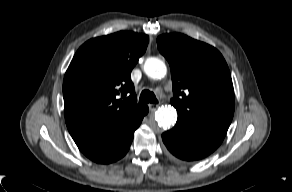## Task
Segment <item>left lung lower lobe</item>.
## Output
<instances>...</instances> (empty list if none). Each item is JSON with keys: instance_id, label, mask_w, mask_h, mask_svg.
<instances>
[{"instance_id": "left-lung-lower-lobe-1", "label": "left lung lower lobe", "mask_w": 292, "mask_h": 192, "mask_svg": "<svg viewBox=\"0 0 292 192\" xmlns=\"http://www.w3.org/2000/svg\"><path fill=\"white\" fill-rule=\"evenodd\" d=\"M162 139L175 157L184 161H194L215 151L224 136L175 126L163 133Z\"/></svg>"}]
</instances>
